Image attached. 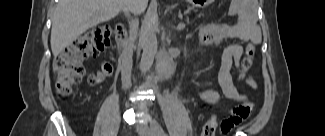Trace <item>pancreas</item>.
Listing matches in <instances>:
<instances>
[{"label":"pancreas","instance_id":"cf45deb5","mask_svg":"<svg viewBox=\"0 0 325 136\" xmlns=\"http://www.w3.org/2000/svg\"><path fill=\"white\" fill-rule=\"evenodd\" d=\"M182 13L184 16H188L183 18L184 24H193L195 19H201L202 16L201 12H198V9H195L193 5H188Z\"/></svg>","mask_w":325,"mask_h":136}]
</instances>
